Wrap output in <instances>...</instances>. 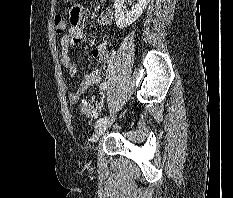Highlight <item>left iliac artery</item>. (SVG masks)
<instances>
[{"mask_svg": "<svg viewBox=\"0 0 233 198\" xmlns=\"http://www.w3.org/2000/svg\"><path fill=\"white\" fill-rule=\"evenodd\" d=\"M101 88L105 89V88H106V83L102 84V87H101ZM107 120H108V117H107V116L98 119V120L96 121V123H95L96 127L99 126L100 124H102L103 122L107 121Z\"/></svg>", "mask_w": 233, "mask_h": 198, "instance_id": "1", "label": "left iliac artery"}]
</instances>
